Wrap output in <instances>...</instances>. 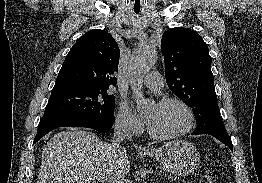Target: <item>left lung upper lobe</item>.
<instances>
[{
	"mask_svg": "<svg viewBox=\"0 0 262 183\" xmlns=\"http://www.w3.org/2000/svg\"><path fill=\"white\" fill-rule=\"evenodd\" d=\"M161 47L166 82L195 115L197 127L193 133L226 132L217 104L212 59L200 35L176 27L164 32Z\"/></svg>",
	"mask_w": 262,
	"mask_h": 183,
	"instance_id": "1",
	"label": "left lung upper lobe"
}]
</instances>
